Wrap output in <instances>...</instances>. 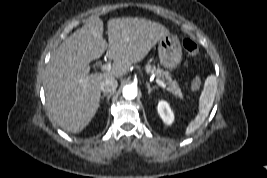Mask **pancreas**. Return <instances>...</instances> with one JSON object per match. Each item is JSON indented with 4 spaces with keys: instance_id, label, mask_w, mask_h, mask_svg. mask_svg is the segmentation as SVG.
Wrapping results in <instances>:
<instances>
[{
    "instance_id": "cf45deb5",
    "label": "pancreas",
    "mask_w": 267,
    "mask_h": 178,
    "mask_svg": "<svg viewBox=\"0 0 267 178\" xmlns=\"http://www.w3.org/2000/svg\"><path fill=\"white\" fill-rule=\"evenodd\" d=\"M146 69L148 72L155 73L157 78L166 82V84L169 86L168 90L173 93L175 96H178L179 98H183V94L181 92V89L177 83V81L173 80L171 75L168 71H164L161 68H157L155 66L147 65Z\"/></svg>"
}]
</instances>
